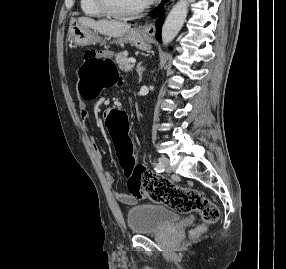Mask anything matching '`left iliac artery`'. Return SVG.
<instances>
[{"instance_id": "obj_1", "label": "left iliac artery", "mask_w": 286, "mask_h": 269, "mask_svg": "<svg viewBox=\"0 0 286 269\" xmlns=\"http://www.w3.org/2000/svg\"><path fill=\"white\" fill-rule=\"evenodd\" d=\"M154 170L156 172H163L164 171V166L161 163L156 164Z\"/></svg>"}]
</instances>
